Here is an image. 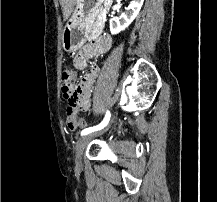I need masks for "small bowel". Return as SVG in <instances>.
<instances>
[{
  "label": "small bowel",
  "instance_id": "c3829d8e",
  "mask_svg": "<svg viewBox=\"0 0 217 202\" xmlns=\"http://www.w3.org/2000/svg\"><path fill=\"white\" fill-rule=\"evenodd\" d=\"M112 45V39L107 34H102L97 38L89 42L85 47H83L74 59V66L78 69H82L85 66L86 58L88 56H99L107 52ZM99 73V68H90L85 76L83 77V82L81 87L84 90V95H89V88L94 83L96 76ZM84 106H96V101H84ZM86 107L85 109H88ZM66 116H76L78 119V111L76 114H66ZM76 119V120H77Z\"/></svg>",
  "mask_w": 217,
  "mask_h": 202
}]
</instances>
